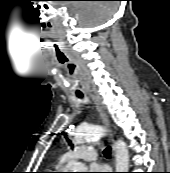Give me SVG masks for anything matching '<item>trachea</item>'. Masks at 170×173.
I'll return each instance as SVG.
<instances>
[{
    "label": "trachea",
    "instance_id": "3493384b",
    "mask_svg": "<svg viewBox=\"0 0 170 173\" xmlns=\"http://www.w3.org/2000/svg\"><path fill=\"white\" fill-rule=\"evenodd\" d=\"M77 97L83 98L82 94H77ZM105 157H110L111 156V147L108 146L107 148L104 149L103 151Z\"/></svg>",
    "mask_w": 170,
    "mask_h": 173
}]
</instances>
